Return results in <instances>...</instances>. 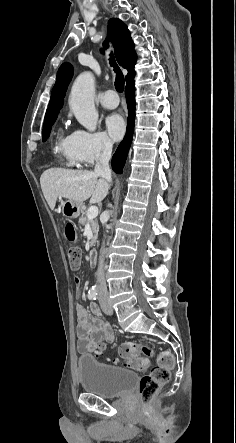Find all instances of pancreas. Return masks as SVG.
I'll use <instances>...</instances> for the list:
<instances>
[{
	"label": "pancreas",
	"mask_w": 236,
	"mask_h": 443,
	"mask_svg": "<svg viewBox=\"0 0 236 443\" xmlns=\"http://www.w3.org/2000/svg\"><path fill=\"white\" fill-rule=\"evenodd\" d=\"M87 213H88V210H83L82 211V215L79 218V223L82 226H84L88 222ZM90 223H91V229H92V232H93V238H92V240L90 242V246H94V244H95V242L97 240V236H98L99 224H98V221L96 219L90 220Z\"/></svg>",
	"instance_id": "obj_1"
}]
</instances>
